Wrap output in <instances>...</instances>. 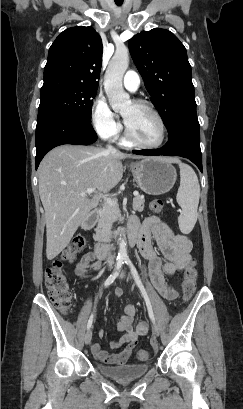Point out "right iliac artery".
Here are the masks:
<instances>
[{"label": "right iliac artery", "instance_id": "82829eb1", "mask_svg": "<svg viewBox=\"0 0 243 409\" xmlns=\"http://www.w3.org/2000/svg\"><path fill=\"white\" fill-rule=\"evenodd\" d=\"M123 264H124L123 259H117L116 269H115V271H114L112 274H110V276L106 279L105 284H104L105 287L111 285V284L114 282V280H115V279L117 278V276L119 275L120 269L122 268ZM93 317H94V315H93V313H92V314L90 315L89 320H88V323H87V330H89V329L91 328V326H92Z\"/></svg>", "mask_w": 243, "mask_h": 409}]
</instances>
